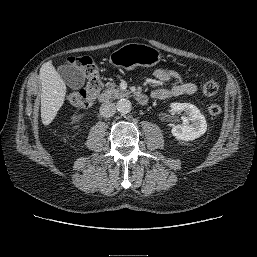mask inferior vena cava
I'll return each mask as SVG.
<instances>
[{
	"instance_id": "inferior-vena-cava-1",
	"label": "inferior vena cava",
	"mask_w": 257,
	"mask_h": 257,
	"mask_svg": "<svg viewBox=\"0 0 257 257\" xmlns=\"http://www.w3.org/2000/svg\"><path fill=\"white\" fill-rule=\"evenodd\" d=\"M100 115L103 117H111L116 112V106L114 103L108 101L101 105L100 107Z\"/></svg>"
}]
</instances>
